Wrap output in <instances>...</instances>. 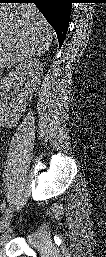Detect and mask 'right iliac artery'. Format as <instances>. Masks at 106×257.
Returning a JSON list of instances; mask_svg holds the SVG:
<instances>
[{"label":"right iliac artery","mask_w":106,"mask_h":257,"mask_svg":"<svg viewBox=\"0 0 106 257\" xmlns=\"http://www.w3.org/2000/svg\"><path fill=\"white\" fill-rule=\"evenodd\" d=\"M5 210H7V209H6V204H5V202H4V203H2V205H1V211H2V213H5Z\"/></svg>","instance_id":"obj_1"}]
</instances>
